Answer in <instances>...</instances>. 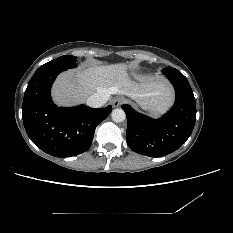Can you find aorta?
I'll list each match as a JSON object with an SVG mask.
<instances>
[{
    "instance_id": "1",
    "label": "aorta",
    "mask_w": 233,
    "mask_h": 233,
    "mask_svg": "<svg viewBox=\"0 0 233 233\" xmlns=\"http://www.w3.org/2000/svg\"><path fill=\"white\" fill-rule=\"evenodd\" d=\"M111 117H112V119H113L114 122L119 123V122H123L125 120L126 114H125V112H124L123 109L116 108V109H114L112 111Z\"/></svg>"
}]
</instances>
